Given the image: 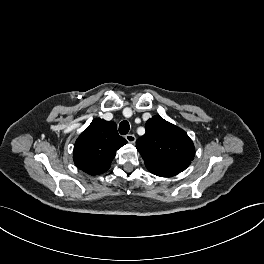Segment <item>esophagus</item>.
Returning a JSON list of instances; mask_svg holds the SVG:
<instances>
[{
  "label": "esophagus",
  "instance_id": "obj_1",
  "mask_svg": "<svg viewBox=\"0 0 264 264\" xmlns=\"http://www.w3.org/2000/svg\"><path fill=\"white\" fill-rule=\"evenodd\" d=\"M125 138L129 143H135L136 141V137L133 134H128Z\"/></svg>",
  "mask_w": 264,
  "mask_h": 264
}]
</instances>
